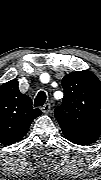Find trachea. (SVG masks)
I'll return each mask as SVG.
<instances>
[{"label": "trachea", "instance_id": "obj_1", "mask_svg": "<svg viewBox=\"0 0 101 180\" xmlns=\"http://www.w3.org/2000/svg\"><path fill=\"white\" fill-rule=\"evenodd\" d=\"M46 101V93L44 91H40L34 101V106L39 107L43 106Z\"/></svg>", "mask_w": 101, "mask_h": 180}]
</instances>
